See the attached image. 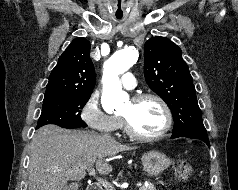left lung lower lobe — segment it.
<instances>
[{"label": "left lung lower lobe", "instance_id": "obj_1", "mask_svg": "<svg viewBox=\"0 0 238 190\" xmlns=\"http://www.w3.org/2000/svg\"><path fill=\"white\" fill-rule=\"evenodd\" d=\"M182 136H183V137H189V138H195V139L202 140V141L205 142L208 146H210L207 133H201V134H197V135H187V134H184V133H178V134L173 135V136L171 137V139L177 138V137H182Z\"/></svg>", "mask_w": 238, "mask_h": 190}]
</instances>
